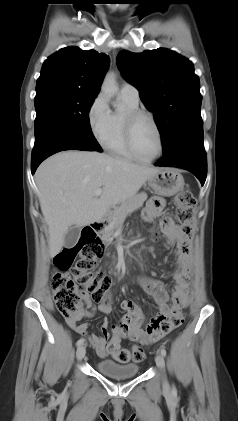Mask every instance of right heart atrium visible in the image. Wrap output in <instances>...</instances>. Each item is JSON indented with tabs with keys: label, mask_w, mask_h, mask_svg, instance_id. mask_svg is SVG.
Segmentation results:
<instances>
[{
	"label": "right heart atrium",
	"mask_w": 238,
	"mask_h": 421,
	"mask_svg": "<svg viewBox=\"0 0 238 421\" xmlns=\"http://www.w3.org/2000/svg\"><path fill=\"white\" fill-rule=\"evenodd\" d=\"M111 111L105 96L100 93L88 108L87 120L95 138L102 142L110 127Z\"/></svg>",
	"instance_id": "obj_1"
}]
</instances>
